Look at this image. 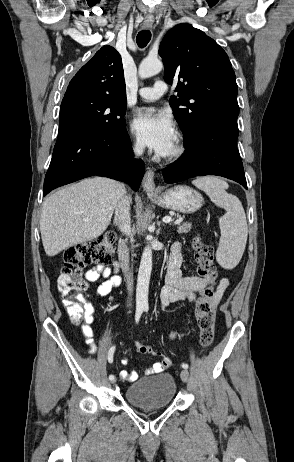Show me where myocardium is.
<instances>
[{
	"label": "myocardium",
	"instance_id": "obj_1",
	"mask_svg": "<svg viewBox=\"0 0 294 462\" xmlns=\"http://www.w3.org/2000/svg\"><path fill=\"white\" fill-rule=\"evenodd\" d=\"M184 152L185 145L183 139L180 135H177L173 149L169 153L163 155V158L167 161H173L180 158Z\"/></svg>",
	"mask_w": 294,
	"mask_h": 462
}]
</instances>
